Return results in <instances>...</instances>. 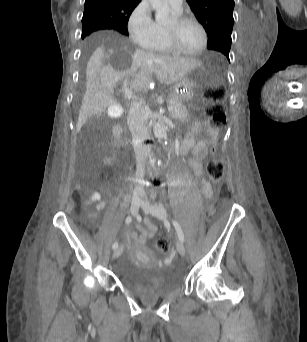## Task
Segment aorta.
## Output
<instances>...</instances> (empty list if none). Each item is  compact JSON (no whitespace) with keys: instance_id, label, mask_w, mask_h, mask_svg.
Listing matches in <instances>:
<instances>
[{"instance_id":"1","label":"aorta","mask_w":307,"mask_h":342,"mask_svg":"<svg viewBox=\"0 0 307 342\" xmlns=\"http://www.w3.org/2000/svg\"><path fill=\"white\" fill-rule=\"evenodd\" d=\"M152 10H155V20L160 22V24H168L170 22V12L171 8L166 2V0H149ZM153 132L155 138H160V140H165L162 142L164 148L168 146L167 144V128L162 122H157L153 126Z\"/></svg>"}]
</instances>
